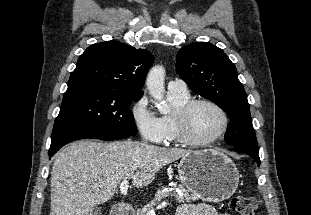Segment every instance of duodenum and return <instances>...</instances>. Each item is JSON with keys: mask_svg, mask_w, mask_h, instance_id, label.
Returning a JSON list of instances; mask_svg holds the SVG:
<instances>
[{"mask_svg": "<svg viewBox=\"0 0 311 215\" xmlns=\"http://www.w3.org/2000/svg\"><path fill=\"white\" fill-rule=\"evenodd\" d=\"M112 215H132V210L126 204H117L112 210Z\"/></svg>", "mask_w": 311, "mask_h": 215, "instance_id": "410a0bca", "label": "duodenum"}]
</instances>
